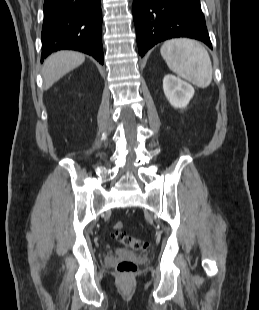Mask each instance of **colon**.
<instances>
[{"label": "colon", "mask_w": 259, "mask_h": 310, "mask_svg": "<svg viewBox=\"0 0 259 310\" xmlns=\"http://www.w3.org/2000/svg\"><path fill=\"white\" fill-rule=\"evenodd\" d=\"M124 224L122 222H116L113 225L114 238L126 247H130L135 250L144 249L147 246V242L138 238H135L125 232H123ZM136 264L132 260H122L117 264V271L121 275L128 276L136 271Z\"/></svg>", "instance_id": "1"}]
</instances>
